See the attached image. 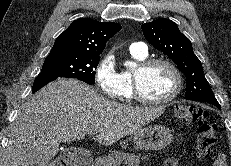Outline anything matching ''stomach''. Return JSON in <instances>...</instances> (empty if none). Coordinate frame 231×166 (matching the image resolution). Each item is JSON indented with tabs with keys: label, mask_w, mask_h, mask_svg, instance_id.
I'll return each instance as SVG.
<instances>
[{
	"label": "stomach",
	"mask_w": 231,
	"mask_h": 166,
	"mask_svg": "<svg viewBox=\"0 0 231 166\" xmlns=\"http://www.w3.org/2000/svg\"><path fill=\"white\" fill-rule=\"evenodd\" d=\"M171 130L164 125H152L136 131L133 135L134 144L146 151L161 150L172 141Z\"/></svg>",
	"instance_id": "0dacf381"
}]
</instances>
